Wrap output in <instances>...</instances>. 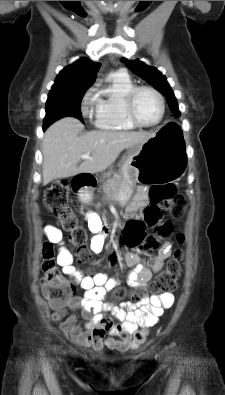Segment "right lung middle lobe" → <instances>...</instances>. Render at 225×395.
<instances>
[{
    "mask_svg": "<svg viewBox=\"0 0 225 395\" xmlns=\"http://www.w3.org/2000/svg\"><path fill=\"white\" fill-rule=\"evenodd\" d=\"M88 88H52L46 102V116L43 129L45 130L56 120L65 116H73L84 123L81 114V100Z\"/></svg>",
    "mask_w": 225,
    "mask_h": 395,
    "instance_id": "obj_1",
    "label": "right lung middle lobe"
}]
</instances>
